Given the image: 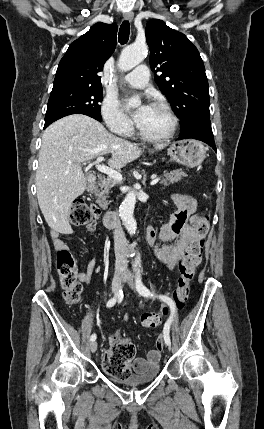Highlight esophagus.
I'll return each mask as SVG.
<instances>
[{
  "label": "esophagus",
  "mask_w": 264,
  "mask_h": 429,
  "mask_svg": "<svg viewBox=\"0 0 264 429\" xmlns=\"http://www.w3.org/2000/svg\"><path fill=\"white\" fill-rule=\"evenodd\" d=\"M124 18L128 21H132L134 18V14L132 11H127L124 13Z\"/></svg>",
  "instance_id": "34e87169"
}]
</instances>
